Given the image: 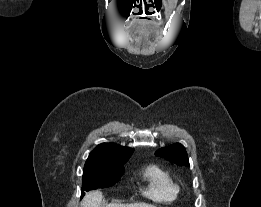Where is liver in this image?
I'll use <instances>...</instances> for the list:
<instances>
[{
  "instance_id": "1",
  "label": "liver",
  "mask_w": 261,
  "mask_h": 207,
  "mask_svg": "<svg viewBox=\"0 0 261 207\" xmlns=\"http://www.w3.org/2000/svg\"><path fill=\"white\" fill-rule=\"evenodd\" d=\"M103 195L100 191L88 192L81 202V207H101ZM107 207H156L146 203H133V204H110Z\"/></svg>"
}]
</instances>
